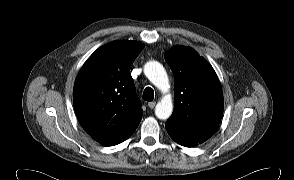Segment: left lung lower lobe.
Returning a JSON list of instances; mask_svg holds the SVG:
<instances>
[{
    "instance_id": "1",
    "label": "left lung lower lobe",
    "mask_w": 294,
    "mask_h": 180,
    "mask_svg": "<svg viewBox=\"0 0 294 180\" xmlns=\"http://www.w3.org/2000/svg\"><path fill=\"white\" fill-rule=\"evenodd\" d=\"M165 128L169 134V136L178 144L185 147H195L208 138H210L214 133H193L186 132L180 129L175 128L170 124H165Z\"/></svg>"
}]
</instances>
